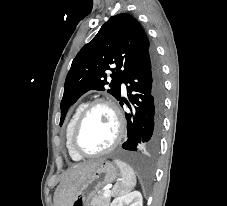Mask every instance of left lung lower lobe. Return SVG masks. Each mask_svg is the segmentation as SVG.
Instances as JSON below:
<instances>
[{
  "instance_id": "left-lung-lower-lobe-1",
  "label": "left lung lower lobe",
  "mask_w": 227,
  "mask_h": 206,
  "mask_svg": "<svg viewBox=\"0 0 227 206\" xmlns=\"http://www.w3.org/2000/svg\"><path fill=\"white\" fill-rule=\"evenodd\" d=\"M130 112L127 119V141L122 147L129 151H154L162 128L164 83L161 68L153 50L126 75Z\"/></svg>"
}]
</instances>
